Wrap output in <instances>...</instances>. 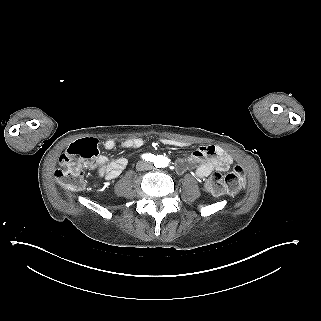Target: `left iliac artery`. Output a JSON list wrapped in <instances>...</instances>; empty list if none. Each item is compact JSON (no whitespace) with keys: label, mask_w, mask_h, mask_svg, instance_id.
<instances>
[{"label":"left iliac artery","mask_w":321,"mask_h":321,"mask_svg":"<svg viewBox=\"0 0 321 321\" xmlns=\"http://www.w3.org/2000/svg\"><path fill=\"white\" fill-rule=\"evenodd\" d=\"M156 165H158V166L162 165V162L160 159H158V161L156 162Z\"/></svg>","instance_id":"obj_1"}]
</instances>
